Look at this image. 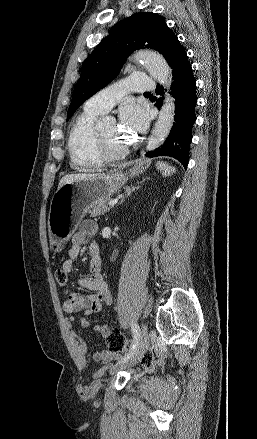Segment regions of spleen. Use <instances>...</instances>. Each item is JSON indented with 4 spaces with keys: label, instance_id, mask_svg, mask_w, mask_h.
Masks as SVG:
<instances>
[{
    "label": "spleen",
    "instance_id": "1",
    "mask_svg": "<svg viewBox=\"0 0 257 439\" xmlns=\"http://www.w3.org/2000/svg\"><path fill=\"white\" fill-rule=\"evenodd\" d=\"M156 167L162 171V175L165 177L176 172V169L171 165H168L166 162L159 161L157 162Z\"/></svg>",
    "mask_w": 257,
    "mask_h": 439
}]
</instances>
